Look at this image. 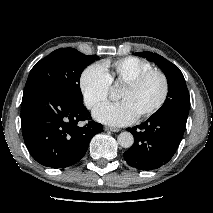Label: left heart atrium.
I'll list each match as a JSON object with an SVG mask.
<instances>
[{
  "instance_id": "1",
  "label": "left heart atrium",
  "mask_w": 213,
  "mask_h": 213,
  "mask_svg": "<svg viewBox=\"0 0 213 213\" xmlns=\"http://www.w3.org/2000/svg\"><path fill=\"white\" fill-rule=\"evenodd\" d=\"M93 116L97 121L112 126L130 124L137 117L130 103L124 100L98 107L94 111Z\"/></svg>"
}]
</instances>
